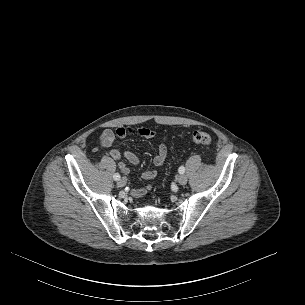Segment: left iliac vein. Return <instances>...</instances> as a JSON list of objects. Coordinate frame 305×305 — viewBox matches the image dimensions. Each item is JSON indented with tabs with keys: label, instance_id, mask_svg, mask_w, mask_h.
<instances>
[{
	"label": "left iliac vein",
	"instance_id": "obj_1",
	"mask_svg": "<svg viewBox=\"0 0 305 305\" xmlns=\"http://www.w3.org/2000/svg\"><path fill=\"white\" fill-rule=\"evenodd\" d=\"M177 180L180 185H185L187 183V176L185 174H180Z\"/></svg>",
	"mask_w": 305,
	"mask_h": 305
}]
</instances>
